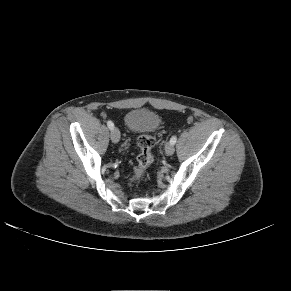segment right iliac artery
<instances>
[{"label":"right iliac artery","mask_w":291,"mask_h":291,"mask_svg":"<svg viewBox=\"0 0 291 291\" xmlns=\"http://www.w3.org/2000/svg\"><path fill=\"white\" fill-rule=\"evenodd\" d=\"M107 126L109 127L110 130H112L114 128V124L112 121H107Z\"/></svg>","instance_id":"right-iliac-artery-1"}]
</instances>
